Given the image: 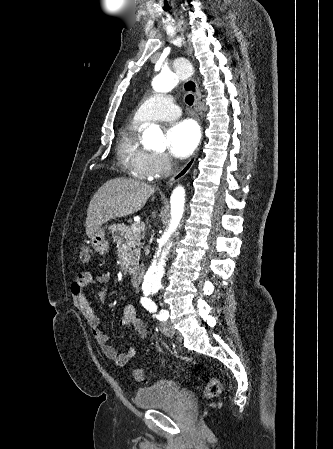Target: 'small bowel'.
Returning a JSON list of instances; mask_svg holds the SVG:
<instances>
[{"instance_id": "obj_1", "label": "small bowel", "mask_w": 333, "mask_h": 449, "mask_svg": "<svg viewBox=\"0 0 333 449\" xmlns=\"http://www.w3.org/2000/svg\"><path fill=\"white\" fill-rule=\"evenodd\" d=\"M108 280V273H100L93 277L88 271H82L77 274L71 284V295L74 306L82 315L103 354L113 360L117 366H124L135 356L136 351L134 346H130L125 352H117L110 344L108 336L101 330L97 313L86 296L88 286L95 285L100 287L99 298L104 300L106 294L105 285ZM119 326L123 330L133 334L136 344L144 341L146 337V326L132 305L125 306Z\"/></svg>"}]
</instances>
